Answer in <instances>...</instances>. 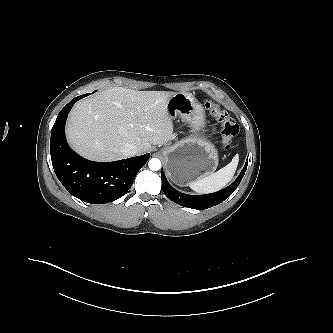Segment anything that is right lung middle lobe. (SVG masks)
Segmentation results:
<instances>
[{
	"instance_id": "right-lung-middle-lobe-1",
	"label": "right lung middle lobe",
	"mask_w": 333,
	"mask_h": 333,
	"mask_svg": "<svg viewBox=\"0 0 333 333\" xmlns=\"http://www.w3.org/2000/svg\"><path fill=\"white\" fill-rule=\"evenodd\" d=\"M90 93H87V94H84V95H82V97H86V96H88Z\"/></svg>"
}]
</instances>
